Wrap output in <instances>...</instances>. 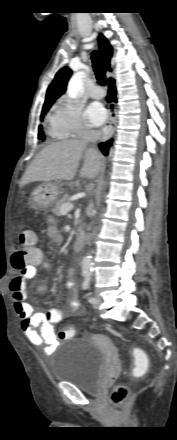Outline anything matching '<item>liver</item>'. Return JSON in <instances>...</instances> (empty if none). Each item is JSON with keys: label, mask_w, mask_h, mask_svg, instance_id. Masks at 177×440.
I'll return each mask as SVG.
<instances>
[{"label": "liver", "mask_w": 177, "mask_h": 440, "mask_svg": "<svg viewBox=\"0 0 177 440\" xmlns=\"http://www.w3.org/2000/svg\"><path fill=\"white\" fill-rule=\"evenodd\" d=\"M84 157L80 177L94 179L101 167V154L78 139L53 143L42 149L26 169L20 185L37 181L72 180Z\"/></svg>", "instance_id": "obj_1"}]
</instances>
